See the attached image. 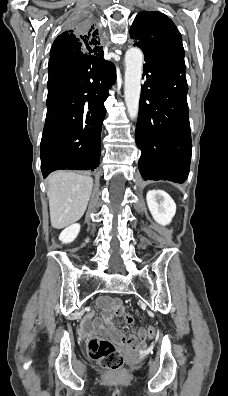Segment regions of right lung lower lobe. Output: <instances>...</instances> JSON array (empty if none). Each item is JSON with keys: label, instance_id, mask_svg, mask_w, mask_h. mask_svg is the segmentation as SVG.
<instances>
[{"label": "right lung lower lobe", "instance_id": "obj_1", "mask_svg": "<svg viewBox=\"0 0 228 396\" xmlns=\"http://www.w3.org/2000/svg\"><path fill=\"white\" fill-rule=\"evenodd\" d=\"M47 115L41 139L43 177L59 169L93 171L100 162L104 101L116 69L103 58L76 56L50 62Z\"/></svg>", "mask_w": 228, "mask_h": 396}]
</instances>
